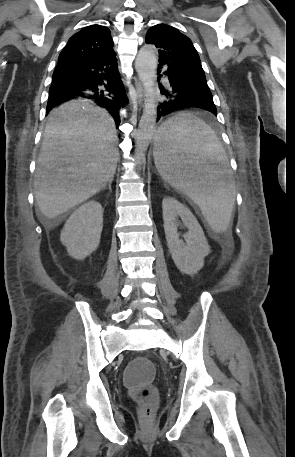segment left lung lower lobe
I'll use <instances>...</instances> for the list:
<instances>
[{
	"label": "left lung lower lobe",
	"instance_id": "1",
	"mask_svg": "<svg viewBox=\"0 0 295 457\" xmlns=\"http://www.w3.org/2000/svg\"><path fill=\"white\" fill-rule=\"evenodd\" d=\"M162 65L168 66L165 74L168 77L169 84L167 90L160 87V91L166 96V100L158 107L157 120L175 110L189 107L205 109L215 116L217 115V110L213 103L212 94L209 88L205 85L194 86V82L199 80L202 75H189V73L182 68L174 66L162 59H159L158 74L160 73L159 69ZM185 77H189V81H187Z\"/></svg>",
	"mask_w": 295,
	"mask_h": 457
}]
</instances>
